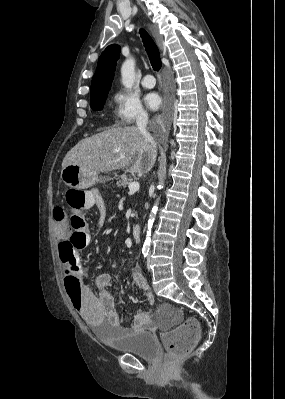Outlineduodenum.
Returning <instances> with one entry per match:
<instances>
[{"label":"duodenum","instance_id":"410a0bca","mask_svg":"<svg viewBox=\"0 0 285 399\" xmlns=\"http://www.w3.org/2000/svg\"><path fill=\"white\" fill-rule=\"evenodd\" d=\"M132 236L133 239L137 242L140 243L142 241V237H143V232L142 229L139 225H135L132 229Z\"/></svg>","mask_w":285,"mask_h":399}]
</instances>
